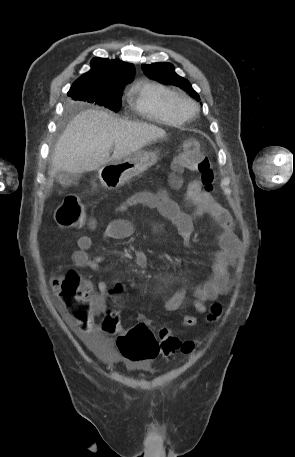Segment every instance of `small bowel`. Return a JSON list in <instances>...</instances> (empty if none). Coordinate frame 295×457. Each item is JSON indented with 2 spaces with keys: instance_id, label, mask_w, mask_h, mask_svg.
<instances>
[{
  "instance_id": "obj_1",
  "label": "small bowel",
  "mask_w": 295,
  "mask_h": 457,
  "mask_svg": "<svg viewBox=\"0 0 295 457\" xmlns=\"http://www.w3.org/2000/svg\"><path fill=\"white\" fill-rule=\"evenodd\" d=\"M186 197L195 206L191 214L183 212L178 204L166 195L151 191H140L133 194L116 206L111 214L124 213L137 205L154 208L158 210L162 216L168 218L172 222L182 236L185 246L190 245V237L193 232L194 220L196 218L207 217L220 227V232L216 237L219 249L212 255V276L208 281L195 289V300L193 302L195 314L190 313L183 317L184 326L193 327L198 322L196 314H203L206 312V302L214 301L229 291L230 280L228 276V267L238 251L239 240L235 233L234 223L230 213L214 200L211 193H208L203 189L201 182L197 180L191 181L186 189ZM134 232L135 228L129 220L119 218L111 220L106 225L102 232V236L106 239L122 240L131 237ZM77 245L78 248L72 254L74 264L77 267H86L94 271L99 270L104 258L102 256H97L95 258L89 257L88 250L92 245L91 237L87 235L80 236ZM135 262L141 267L147 266L148 258L142 250H136ZM55 279H52L51 281L54 290L56 283ZM108 290L109 284L106 281L101 280L98 282L97 291L92 294V302L95 311H100L104 307L103 294ZM185 299L186 291L184 289H179L164 303L165 311H176L181 307ZM139 319L141 322L146 321L143 317H140ZM69 324L81 338H103L101 329L94 324L91 317L87 320H82L69 316Z\"/></svg>"
}]
</instances>
